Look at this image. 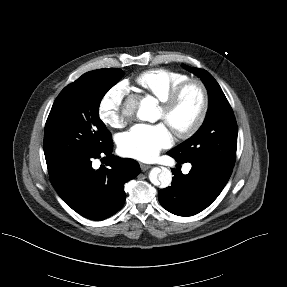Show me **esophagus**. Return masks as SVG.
Returning <instances> with one entry per match:
<instances>
[{
  "label": "esophagus",
  "mask_w": 287,
  "mask_h": 287,
  "mask_svg": "<svg viewBox=\"0 0 287 287\" xmlns=\"http://www.w3.org/2000/svg\"><path fill=\"white\" fill-rule=\"evenodd\" d=\"M140 167H141V170H142V171H146V170H148L149 168H151V165L141 163V164H140Z\"/></svg>",
  "instance_id": "1"
}]
</instances>
